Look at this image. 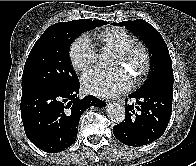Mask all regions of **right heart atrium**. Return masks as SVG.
I'll list each match as a JSON object with an SVG mask.
<instances>
[{"mask_svg":"<svg viewBox=\"0 0 196 166\" xmlns=\"http://www.w3.org/2000/svg\"><path fill=\"white\" fill-rule=\"evenodd\" d=\"M69 57L76 70L86 71L96 63V48L91 39L87 36H80L71 44Z\"/></svg>","mask_w":196,"mask_h":166,"instance_id":"obj_1","label":"right heart atrium"}]
</instances>
